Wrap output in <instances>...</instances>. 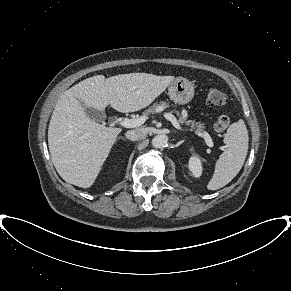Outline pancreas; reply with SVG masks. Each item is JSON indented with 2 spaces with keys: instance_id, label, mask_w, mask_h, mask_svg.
Returning <instances> with one entry per match:
<instances>
[{
  "instance_id": "cf45deb5",
  "label": "pancreas",
  "mask_w": 291,
  "mask_h": 291,
  "mask_svg": "<svg viewBox=\"0 0 291 291\" xmlns=\"http://www.w3.org/2000/svg\"><path fill=\"white\" fill-rule=\"evenodd\" d=\"M166 107H168V103L166 102H160V104L154 103L153 106H151L149 109L146 110L145 114H153L157 111V109L166 108ZM177 114L179 115L178 112ZM179 122L185 125H190L192 129L196 128L197 132L203 131V128H204L203 124L195 123L192 120H187V116H183V115L179 117Z\"/></svg>"
}]
</instances>
